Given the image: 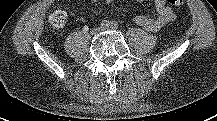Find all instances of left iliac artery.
<instances>
[{
	"label": "left iliac artery",
	"mask_w": 217,
	"mask_h": 121,
	"mask_svg": "<svg viewBox=\"0 0 217 121\" xmlns=\"http://www.w3.org/2000/svg\"><path fill=\"white\" fill-rule=\"evenodd\" d=\"M110 24L112 29H116L118 27V24L116 22H111Z\"/></svg>",
	"instance_id": "44dca946"
}]
</instances>
